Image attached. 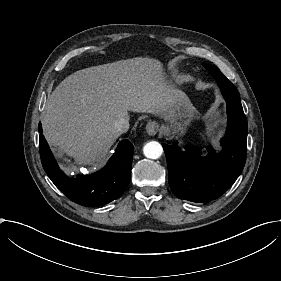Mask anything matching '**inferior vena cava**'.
Here are the masks:
<instances>
[{
	"mask_svg": "<svg viewBox=\"0 0 281 281\" xmlns=\"http://www.w3.org/2000/svg\"><path fill=\"white\" fill-rule=\"evenodd\" d=\"M114 126L119 132L126 133L129 129V120H126L124 118L119 119L114 123Z\"/></svg>",
	"mask_w": 281,
	"mask_h": 281,
	"instance_id": "obj_1",
	"label": "inferior vena cava"
}]
</instances>
